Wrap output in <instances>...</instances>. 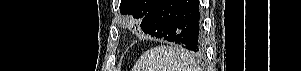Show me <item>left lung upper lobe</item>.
I'll return each mask as SVG.
<instances>
[{
  "label": "left lung upper lobe",
  "instance_id": "1",
  "mask_svg": "<svg viewBox=\"0 0 301 71\" xmlns=\"http://www.w3.org/2000/svg\"><path fill=\"white\" fill-rule=\"evenodd\" d=\"M158 0H121L120 12L134 18H144Z\"/></svg>",
  "mask_w": 301,
  "mask_h": 71
}]
</instances>
